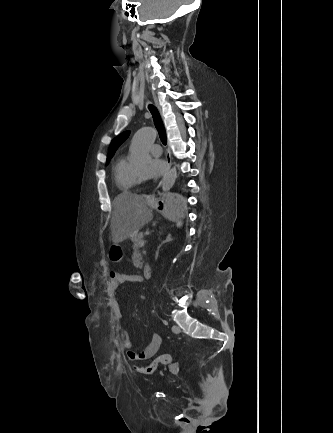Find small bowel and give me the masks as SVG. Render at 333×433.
I'll list each match as a JSON object with an SVG mask.
<instances>
[{"instance_id":"1","label":"small bowel","mask_w":333,"mask_h":433,"mask_svg":"<svg viewBox=\"0 0 333 433\" xmlns=\"http://www.w3.org/2000/svg\"><path fill=\"white\" fill-rule=\"evenodd\" d=\"M142 279L138 275H128V274H121L116 271H112L110 273V285L113 292V295L115 297V304H114V310L115 314L118 318L122 317V311L120 308V304L117 300L118 298V292L121 284L125 282H133V283H141ZM162 336L160 334H153L149 343L142 351H136L133 349V343L131 341V338L127 332L122 333L121 343L124 349L126 350V356L127 358L132 362H142L148 359L153 358L159 351L160 346L162 344ZM178 370L177 364L170 368V371L172 373H176Z\"/></svg>"}]
</instances>
